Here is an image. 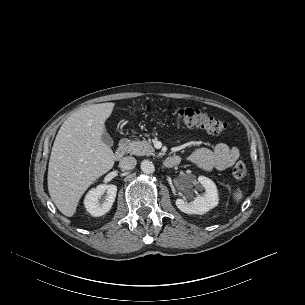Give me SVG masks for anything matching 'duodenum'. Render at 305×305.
<instances>
[{
    "mask_svg": "<svg viewBox=\"0 0 305 305\" xmlns=\"http://www.w3.org/2000/svg\"><path fill=\"white\" fill-rule=\"evenodd\" d=\"M126 151H127V141L122 140L115 149L114 158L116 160L121 159L126 154ZM179 161L180 158L178 156H172L165 159V164L168 167H172L174 165H177Z\"/></svg>",
    "mask_w": 305,
    "mask_h": 305,
    "instance_id": "410a0bca",
    "label": "duodenum"
}]
</instances>
